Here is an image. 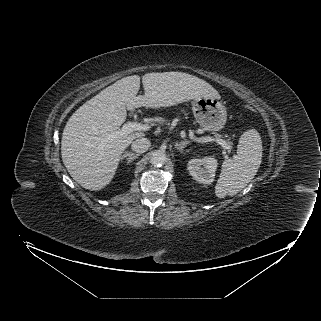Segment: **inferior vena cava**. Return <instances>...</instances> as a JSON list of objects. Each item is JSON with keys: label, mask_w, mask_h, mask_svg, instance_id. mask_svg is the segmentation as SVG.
<instances>
[{"label": "inferior vena cava", "mask_w": 321, "mask_h": 321, "mask_svg": "<svg viewBox=\"0 0 321 321\" xmlns=\"http://www.w3.org/2000/svg\"><path fill=\"white\" fill-rule=\"evenodd\" d=\"M151 146V143L149 139L141 137L132 142V150L138 154L146 152L149 147Z\"/></svg>", "instance_id": "obj_1"}]
</instances>
